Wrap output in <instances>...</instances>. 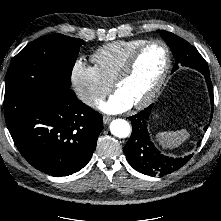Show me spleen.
<instances>
[{"label":"spleen","instance_id":"spleen-1","mask_svg":"<svg viewBox=\"0 0 221 221\" xmlns=\"http://www.w3.org/2000/svg\"><path fill=\"white\" fill-rule=\"evenodd\" d=\"M189 137V131L181 129L177 131L161 132L156 136V139L163 147L175 148L181 145Z\"/></svg>","mask_w":221,"mask_h":221}]
</instances>
